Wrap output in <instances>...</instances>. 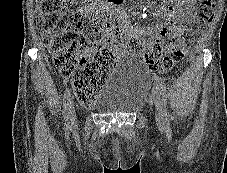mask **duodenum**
<instances>
[{"label": "duodenum", "mask_w": 227, "mask_h": 173, "mask_svg": "<svg viewBox=\"0 0 227 173\" xmlns=\"http://www.w3.org/2000/svg\"><path fill=\"white\" fill-rule=\"evenodd\" d=\"M109 4H116L119 0H106Z\"/></svg>", "instance_id": "obj_1"}]
</instances>
